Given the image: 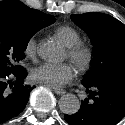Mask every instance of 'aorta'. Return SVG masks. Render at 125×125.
Segmentation results:
<instances>
[{
  "label": "aorta",
  "mask_w": 125,
  "mask_h": 125,
  "mask_svg": "<svg viewBox=\"0 0 125 125\" xmlns=\"http://www.w3.org/2000/svg\"><path fill=\"white\" fill-rule=\"evenodd\" d=\"M39 56L48 62H59L63 57L61 48L53 41H45L38 46ZM59 108L64 114H75L80 108V101L74 94L63 95L59 100Z\"/></svg>",
  "instance_id": "aorta-1"
}]
</instances>
